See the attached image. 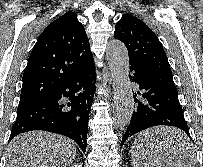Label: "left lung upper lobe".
<instances>
[{"label":"left lung upper lobe","mask_w":203,"mask_h":167,"mask_svg":"<svg viewBox=\"0 0 203 167\" xmlns=\"http://www.w3.org/2000/svg\"><path fill=\"white\" fill-rule=\"evenodd\" d=\"M114 38L127 47L130 64L141 65L159 77L173 80L161 42L142 20L124 14L116 23Z\"/></svg>","instance_id":"left-lung-upper-lobe-1"}]
</instances>
